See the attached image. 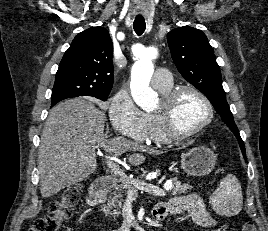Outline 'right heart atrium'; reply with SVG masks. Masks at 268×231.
I'll use <instances>...</instances> for the list:
<instances>
[{
    "label": "right heart atrium",
    "mask_w": 268,
    "mask_h": 231,
    "mask_svg": "<svg viewBox=\"0 0 268 231\" xmlns=\"http://www.w3.org/2000/svg\"><path fill=\"white\" fill-rule=\"evenodd\" d=\"M108 116L116 132L138 142L147 141L145 114L135 104L127 89L121 88L111 97Z\"/></svg>",
    "instance_id": "1"
}]
</instances>
